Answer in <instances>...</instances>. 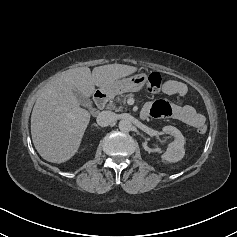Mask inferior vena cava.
<instances>
[{"label":"inferior vena cava","mask_w":237,"mask_h":237,"mask_svg":"<svg viewBox=\"0 0 237 237\" xmlns=\"http://www.w3.org/2000/svg\"><path fill=\"white\" fill-rule=\"evenodd\" d=\"M116 120V114L111 111H102L97 116V124L101 127H106Z\"/></svg>","instance_id":"obj_1"}]
</instances>
